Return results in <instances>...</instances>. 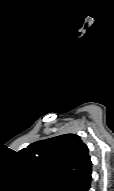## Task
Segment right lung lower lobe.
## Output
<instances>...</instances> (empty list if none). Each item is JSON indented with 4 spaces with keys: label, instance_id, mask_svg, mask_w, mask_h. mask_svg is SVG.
<instances>
[{
    "label": "right lung lower lobe",
    "instance_id": "right-lung-lower-lobe-1",
    "mask_svg": "<svg viewBox=\"0 0 114 191\" xmlns=\"http://www.w3.org/2000/svg\"><path fill=\"white\" fill-rule=\"evenodd\" d=\"M90 184L91 174L84 177L74 178L57 187V191H89Z\"/></svg>",
    "mask_w": 114,
    "mask_h": 191
}]
</instances>
